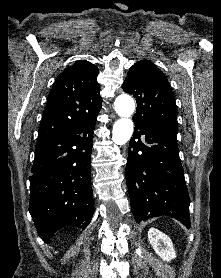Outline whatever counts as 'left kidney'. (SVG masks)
Listing matches in <instances>:
<instances>
[{
  "mask_svg": "<svg viewBox=\"0 0 221 278\" xmlns=\"http://www.w3.org/2000/svg\"><path fill=\"white\" fill-rule=\"evenodd\" d=\"M148 240L153 247L155 253L164 261L175 259L176 253L173 248L171 239L156 228H150L148 231Z\"/></svg>",
  "mask_w": 221,
  "mask_h": 278,
  "instance_id": "obj_1",
  "label": "left kidney"
}]
</instances>
